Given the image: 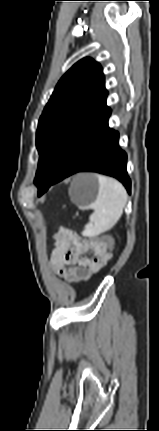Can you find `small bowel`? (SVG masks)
Here are the masks:
<instances>
[{
	"mask_svg": "<svg viewBox=\"0 0 159 431\" xmlns=\"http://www.w3.org/2000/svg\"><path fill=\"white\" fill-rule=\"evenodd\" d=\"M86 253L91 255L84 256ZM111 255L105 240L90 241L75 231L61 228L54 236L51 263L60 277L69 283H80L102 269Z\"/></svg>",
	"mask_w": 159,
	"mask_h": 431,
	"instance_id": "obj_1",
	"label": "small bowel"
}]
</instances>
